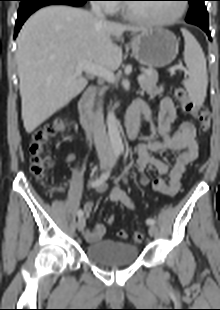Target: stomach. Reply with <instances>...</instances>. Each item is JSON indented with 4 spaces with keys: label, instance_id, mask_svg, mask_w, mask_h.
<instances>
[{
    "label": "stomach",
    "instance_id": "stomach-1",
    "mask_svg": "<svg viewBox=\"0 0 220 310\" xmlns=\"http://www.w3.org/2000/svg\"><path fill=\"white\" fill-rule=\"evenodd\" d=\"M135 59L149 68H161L176 58L179 43L176 36L162 28L142 31L131 39Z\"/></svg>",
    "mask_w": 220,
    "mask_h": 310
}]
</instances>
